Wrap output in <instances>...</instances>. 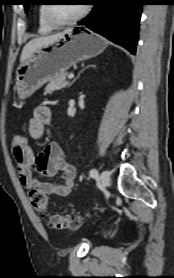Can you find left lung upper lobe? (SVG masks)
I'll use <instances>...</instances> for the list:
<instances>
[{
	"mask_svg": "<svg viewBox=\"0 0 174 278\" xmlns=\"http://www.w3.org/2000/svg\"><path fill=\"white\" fill-rule=\"evenodd\" d=\"M31 2H32V0H24L23 5L25 7L26 12L28 11L29 6L32 4Z\"/></svg>",
	"mask_w": 174,
	"mask_h": 278,
	"instance_id": "obj_1",
	"label": "left lung upper lobe"
}]
</instances>
